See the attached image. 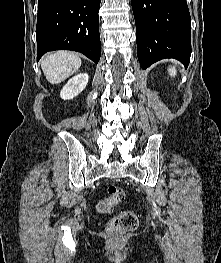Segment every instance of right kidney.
Wrapping results in <instances>:
<instances>
[{"label": "right kidney", "mask_w": 221, "mask_h": 263, "mask_svg": "<svg viewBox=\"0 0 221 263\" xmlns=\"http://www.w3.org/2000/svg\"><path fill=\"white\" fill-rule=\"evenodd\" d=\"M88 80L87 73H80L72 77L61 90L60 97L64 100H70L78 96L86 87Z\"/></svg>", "instance_id": "right-kidney-1"}]
</instances>
